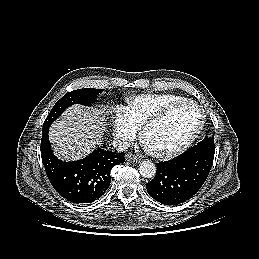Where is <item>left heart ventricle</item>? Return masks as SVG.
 Segmentation results:
<instances>
[{"label":"left heart ventricle","mask_w":259,"mask_h":259,"mask_svg":"<svg viewBox=\"0 0 259 259\" xmlns=\"http://www.w3.org/2000/svg\"><path fill=\"white\" fill-rule=\"evenodd\" d=\"M199 120V111L194 106L179 107L149 129L147 144L155 149L175 146L193 133Z\"/></svg>","instance_id":"obj_1"}]
</instances>
